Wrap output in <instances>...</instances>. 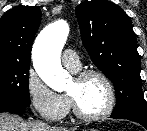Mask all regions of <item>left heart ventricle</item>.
Returning <instances> with one entry per match:
<instances>
[{
	"label": "left heart ventricle",
	"instance_id": "b2bd125f",
	"mask_svg": "<svg viewBox=\"0 0 147 131\" xmlns=\"http://www.w3.org/2000/svg\"><path fill=\"white\" fill-rule=\"evenodd\" d=\"M67 92L75 98L80 110L89 115L101 112L108 102L106 86L95 76L81 81L73 78Z\"/></svg>",
	"mask_w": 147,
	"mask_h": 131
}]
</instances>
